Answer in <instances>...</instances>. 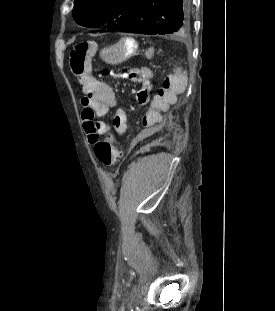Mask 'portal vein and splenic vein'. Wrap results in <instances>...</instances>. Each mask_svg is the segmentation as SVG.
<instances>
[{
  "mask_svg": "<svg viewBox=\"0 0 275 311\" xmlns=\"http://www.w3.org/2000/svg\"><path fill=\"white\" fill-rule=\"evenodd\" d=\"M153 54H154V51H153L152 49H150V50L146 53V56H147V58H151Z\"/></svg>",
  "mask_w": 275,
  "mask_h": 311,
  "instance_id": "obj_1",
  "label": "portal vein and splenic vein"
}]
</instances>
